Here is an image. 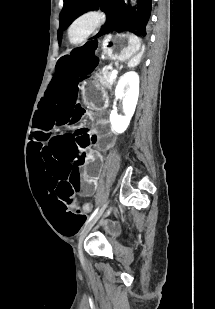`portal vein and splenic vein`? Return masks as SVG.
I'll return each instance as SVG.
<instances>
[{"label":"portal vein and splenic vein","mask_w":215,"mask_h":309,"mask_svg":"<svg viewBox=\"0 0 215 309\" xmlns=\"http://www.w3.org/2000/svg\"><path fill=\"white\" fill-rule=\"evenodd\" d=\"M117 74H118V70H112V74L110 76L111 80H113V78H116Z\"/></svg>","instance_id":"18ae733b"}]
</instances>
